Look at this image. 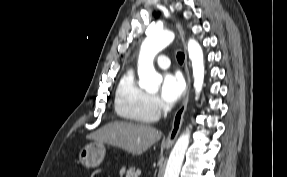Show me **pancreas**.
Segmentation results:
<instances>
[{
    "label": "pancreas",
    "instance_id": "1",
    "mask_svg": "<svg viewBox=\"0 0 287 177\" xmlns=\"http://www.w3.org/2000/svg\"><path fill=\"white\" fill-rule=\"evenodd\" d=\"M140 175V170L135 169L134 167H130L128 170L122 168L120 170V176L123 177H138Z\"/></svg>",
    "mask_w": 287,
    "mask_h": 177
}]
</instances>
